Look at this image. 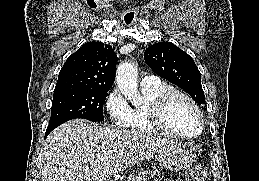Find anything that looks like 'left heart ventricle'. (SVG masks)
Wrapping results in <instances>:
<instances>
[{
  "label": "left heart ventricle",
  "mask_w": 259,
  "mask_h": 181,
  "mask_svg": "<svg viewBox=\"0 0 259 181\" xmlns=\"http://www.w3.org/2000/svg\"><path fill=\"white\" fill-rule=\"evenodd\" d=\"M168 124L177 132L195 134L200 127V120L193 107L184 99H175L168 112Z\"/></svg>",
  "instance_id": "1"
}]
</instances>
